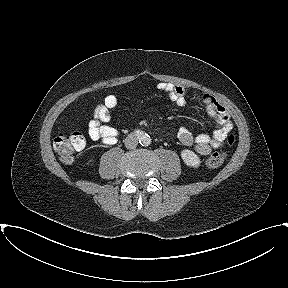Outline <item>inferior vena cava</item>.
<instances>
[{"label":"inferior vena cava","mask_w":288,"mask_h":288,"mask_svg":"<svg viewBox=\"0 0 288 288\" xmlns=\"http://www.w3.org/2000/svg\"><path fill=\"white\" fill-rule=\"evenodd\" d=\"M127 149H134L138 145V139L136 136L130 134L124 140Z\"/></svg>","instance_id":"inferior-vena-cava-1"}]
</instances>
